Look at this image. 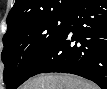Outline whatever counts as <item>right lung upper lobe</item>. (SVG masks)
<instances>
[{"label": "right lung upper lobe", "instance_id": "obj_1", "mask_svg": "<svg viewBox=\"0 0 107 89\" xmlns=\"http://www.w3.org/2000/svg\"><path fill=\"white\" fill-rule=\"evenodd\" d=\"M80 0H16L8 14L7 25L40 17L70 12Z\"/></svg>", "mask_w": 107, "mask_h": 89}]
</instances>
